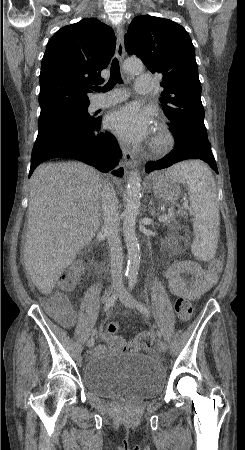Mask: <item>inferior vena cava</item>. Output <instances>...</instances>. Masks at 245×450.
Masks as SVG:
<instances>
[{"label":"inferior vena cava","instance_id":"inferior-vena-cava-1","mask_svg":"<svg viewBox=\"0 0 245 450\" xmlns=\"http://www.w3.org/2000/svg\"><path fill=\"white\" fill-rule=\"evenodd\" d=\"M104 226L111 256V277L113 284H122L123 251L119 236L118 199L115 190L109 184H104L101 193Z\"/></svg>","mask_w":245,"mask_h":450}]
</instances>
